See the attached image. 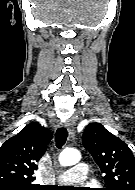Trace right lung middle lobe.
<instances>
[{
    "mask_svg": "<svg viewBox=\"0 0 135 190\" xmlns=\"http://www.w3.org/2000/svg\"><path fill=\"white\" fill-rule=\"evenodd\" d=\"M36 187L0 186V190H38Z\"/></svg>",
    "mask_w": 135,
    "mask_h": 190,
    "instance_id": "1",
    "label": "right lung middle lobe"
}]
</instances>
